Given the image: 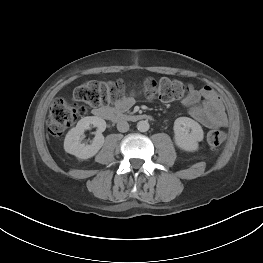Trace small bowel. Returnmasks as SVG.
Returning <instances> with one entry per match:
<instances>
[{
    "mask_svg": "<svg viewBox=\"0 0 263 263\" xmlns=\"http://www.w3.org/2000/svg\"><path fill=\"white\" fill-rule=\"evenodd\" d=\"M135 103L134 96H126L117 103V109L125 111ZM183 105L189 114L205 127H222L227 124V117L223 104L210 86L193 90L183 100Z\"/></svg>",
    "mask_w": 263,
    "mask_h": 263,
    "instance_id": "obj_1",
    "label": "small bowel"
}]
</instances>
